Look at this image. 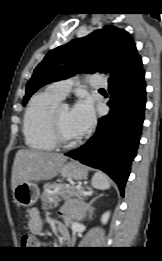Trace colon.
I'll use <instances>...</instances> for the list:
<instances>
[{
    "label": "colon",
    "mask_w": 162,
    "mask_h": 261,
    "mask_svg": "<svg viewBox=\"0 0 162 261\" xmlns=\"http://www.w3.org/2000/svg\"><path fill=\"white\" fill-rule=\"evenodd\" d=\"M21 245L24 248H35L40 245V242L37 240L35 236L31 234H25L21 239Z\"/></svg>",
    "instance_id": "obj_1"
}]
</instances>
